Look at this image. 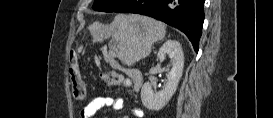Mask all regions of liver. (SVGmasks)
<instances>
[{"label": "liver", "mask_w": 273, "mask_h": 118, "mask_svg": "<svg viewBox=\"0 0 273 118\" xmlns=\"http://www.w3.org/2000/svg\"><path fill=\"white\" fill-rule=\"evenodd\" d=\"M89 30L93 34V42H103L112 37L121 46L117 58L127 66L146 58L152 45L166 35L162 22L138 14H119L107 25L94 22Z\"/></svg>", "instance_id": "1"}]
</instances>
